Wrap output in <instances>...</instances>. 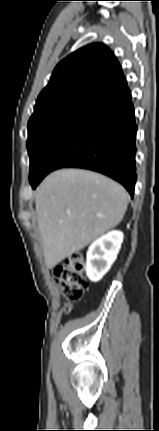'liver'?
<instances>
[{"label":"liver","instance_id":"liver-1","mask_svg":"<svg viewBox=\"0 0 159 431\" xmlns=\"http://www.w3.org/2000/svg\"><path fill=\"white\" fill-rule=\"evenodd\" d=\"M127 205L126 190L104 175L80 169L48 175L35 192L46 267H55L116 227Z\"/></svg>","mask_w":159,"mask_h":431}]
</instances>
